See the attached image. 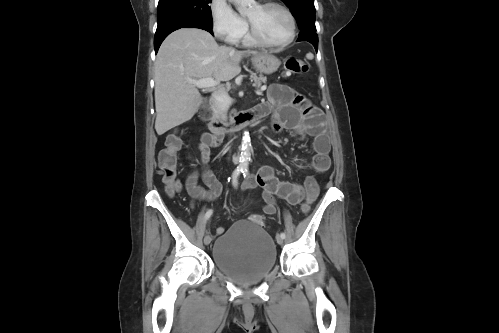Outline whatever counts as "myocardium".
Listing matches in <instances>:
<instances>
[{"label": "myocardium", "instance_id": "1", "mask_svg": "<svg viewBox=\"0 0 499 333\" xmlns=\"http://www.w3.org/2000/svg\"><path fill=\"white\" fill-rule=\"evenodd\" d=\"M262 8H272L276 7L281 9L289 18L290 21V33L287 39H285L282 42H270L267 41L256 29V27L252 24L247 19V24H248V33L250 37L258 44L264 47H269V48H284L291 44L295 37H296V19L294 17V14L292 11L284 4L277 2V1H271V0H266L260 4H258Z\"/></svg>", "mask_w": 499, "mask_h": 333}]
</instances>
